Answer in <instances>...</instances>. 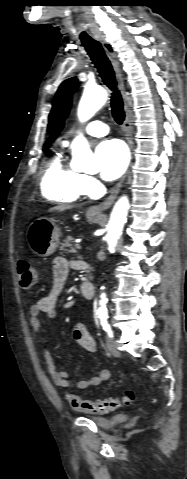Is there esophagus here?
Instances as JSON below:
<instances>
[{
	"label": "esophagus",
	"mask_w": 187,
	"mask_h": 479,
	"mask_svg": "<svg viewBox=\"0 0 187 479\" xmlns=\"http://www.w3.org/2000/svg\"><path fill=\"white\" fill-rule=\"evenodd\" d=\"M109 60L111 61V64L114 68V71L116 73V77L118 79V83H119V88L124 96V93H125V85H124V78H123V74H122V71H121V68H120V64L117 60V55H116V52L114 51L112 45L108 42H106L105 40L101 39L100 40ZM125 110H126V117H125V121H124V133H125V137H126V140L128 142V145H129V149L132 153V150H133V142H132V118H131V114L128 110V106L127 104L125 103ZM125 179V176L121 179L120 182H118L115 187L111 190V193L110 195L108 196V198L103 201L102 203L98 204V205H94V206H91L89 208V212L92 213V214H102V212L106 209H108L112 204L113 202L115 201L119 191H120V188L122 186V183Z\"/></svg>",
	"instance_id": "34e87169"
}]
</instances>
